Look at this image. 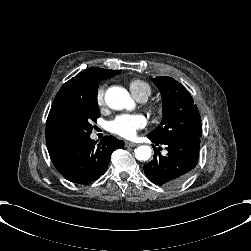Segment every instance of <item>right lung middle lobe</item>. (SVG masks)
Listing matches in <instances>:
<instances>
[{
    "label": "right lung middle lobe",
    "instance_id": "right-lung-middle-lobe-1",
    "mask_svg": "<svg viewBox=\"0 0 251 251\" xmlns=\"http://www.w3.org/2000/svg\"><path fill=\"white\" fill-rule=\"evenodd\" d=\"M121 73L118 70L115 75ZM98 86L91 92L64 102L57 109V119L62 129L72 140L89 136L92 132V122L100 116L97 103Z\"/></svg>",
    "mask_w": 251,
    "mask_h": 251
}]
</instances>
